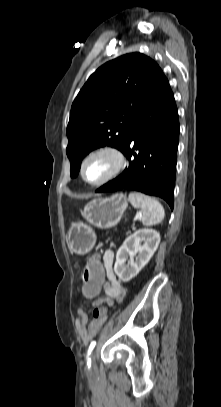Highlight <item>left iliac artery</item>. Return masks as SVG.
<instances>
[{
  "mask_svg": "<svg viewBox=\"0 0 221 407\" xmlns=\"http://www.w3.org/2000/svg\"><path fill=\"white\" fill-rule=\"evenodd\" d=\"M95 345H96V341H92L89 348H88V352H87L88 356L91 354V352L94 349ZM90 363H91V360H90V358H88V366H90Z\"/></svg>",
  "mask_w": 221,
  "mask_h": 407,
  "instance_id": "left-iliac-artery-1",
  "label": "left iliac artery"
}]
</instances>
